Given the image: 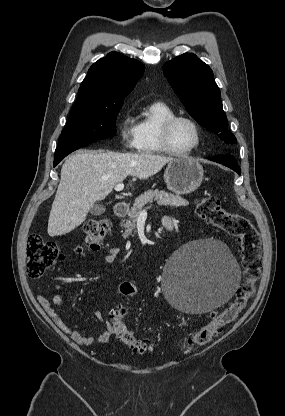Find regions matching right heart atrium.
Listing matches in <instances>:
<instances>
[{"instance_id":"d8ad5b80","label":"right heart atrium","mask_w":285,"mask_h":416,"mask_svg":"<svg viewBox=\"0 0 285 416\" xmlns=\"http://www.w3.org/2000/svg\"><path fill=\"white\" fill-rule=\"evenodd\" d=\"M120 138L126 149L131 151L139 149V135L136 119L134 114L130 111H126L122 115Z\"/></svg>"}]
</instances>
